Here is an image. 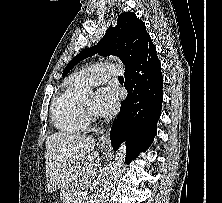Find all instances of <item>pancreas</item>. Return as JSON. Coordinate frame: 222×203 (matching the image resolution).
Instances as JSON below:
<instances>
[{
	"instance_id": "1",
	"label": "pancreas",
	"mask_w": 222,
	"mask_h": 203,
	"mask_svg": "<svg viewBox=\"0 0 222 203\" xmlns=\"http://www.w3.org/2000/svg\"><path fill=\"white\" fill-rule=\"evenodd\" d=\"M90 178L88 177H84L82 179H80L78 181V183L76 184V188L74 190V195L73 197L77 198L80 194H82L83 192L86 191V186H85V183L87 181H89Z\"/></svg>"
}]
</instances>
